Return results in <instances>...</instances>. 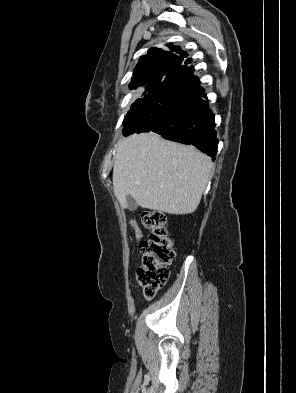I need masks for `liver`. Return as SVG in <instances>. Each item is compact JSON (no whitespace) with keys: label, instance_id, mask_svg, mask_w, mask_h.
Wrapping results in <instances>:
<instances>
[{"label":"liver","instance_id":"6515ba94","mask_svg":"<svg viewBox=\"0 0 296 393\" xmlns=\"http://www.w3.org/2000/svg\"><path fill=\"white\" fill-rule=\"evenodd\" d=\"M212 169L211 159L192 146L153 132L134 134L117 142L114 194L125 208L130 195L142 208L190 214L200 203Z\"/></svg>","mask_w":296,"mask_h":393}]
</instances>
